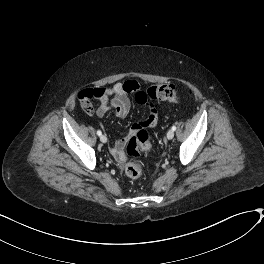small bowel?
<instances>
[{
  "instance_id": "small-bowel-1",
  "label": "small bowel",
  "mask_w": 264,
  "mask_h": 264,
  "mask_svg": "<svg viewBox=\"0 0 264 264\" xmlns=\"http://www.w3.org/2000/svg\"><path fill=\"white\" fill-rule=\"evenodd\" d=\"M142 89L137 80L130 79L124 82H116L109 88H97L93 91V99L98 101L96 115L103 117L110 109L115 110L118 117L124 118L131 109V101L129 95L138 92ZM148 107V116L140 123L134 124L126 137L115 140L109 146V151L112 157L117 162H122L126 159L123 152L125 144L132 139L137 132V125L140 127L155 128L157 125L158 112L156 106L150 105ZM103 127V126H102Z\"/></svg>"
}]
</instances>
